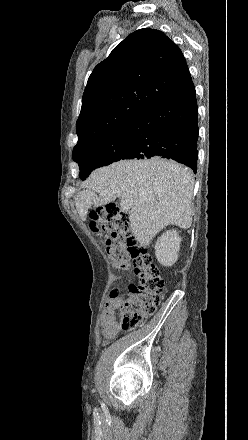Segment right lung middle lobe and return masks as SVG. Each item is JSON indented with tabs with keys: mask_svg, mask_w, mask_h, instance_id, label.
Returning <instances> with one entry per match:
<instances>
[{
	"mask_svg": "<svg viewBox=\"0 0 248 440\" xmlns=\"http://www.w3.org/2000/svg\"><path fill=\"white\" fill-rule=\"evenodd\" d=\"M129 144V130L126 125L74 149L72 157L79 164L80 178L85 180L94 169L121 160Z\"/></svg>",
	"mask_w": 248,
	"mask_h": 440,
	"instance_id": "right-lung-middle-lobe-1",
	"label": "right lung middle lobe"
}]
</instances>
